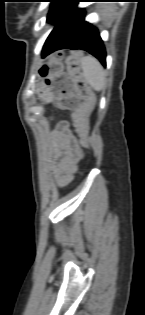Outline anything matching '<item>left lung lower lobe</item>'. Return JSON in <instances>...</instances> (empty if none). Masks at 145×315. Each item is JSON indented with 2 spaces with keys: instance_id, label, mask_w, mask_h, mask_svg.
<instances>
[{
  "instance_id": "1",
  "label": "left lung lower lobe",
  "mask_w": 145,
  "mask_h": 315,
  "mask_svg": "<svg viewBox=\"0 0 145 315\" xmlns=\"http://www.w3.org/2000/svg\"><path fill=\"white\" fill-rule=\"evenodd\" d=\"M81 1L73 0L56 19L55 27L43 46L42 57L59 49H82L95 56L105 66L106 52L103 41L97 28L84 21V10L76 7Z\"/></svg>"
}]
</instances>
